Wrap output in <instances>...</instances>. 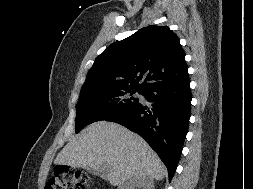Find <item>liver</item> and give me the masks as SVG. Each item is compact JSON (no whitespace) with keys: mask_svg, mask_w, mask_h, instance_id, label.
Segmentation results:
<instances>
[{"mask_svg":"<svg viewBox=\"0 0 253 189\" xmlns=\"http://www.w3.org/2000/svg\"><path fill=\"white\" fill-rule=\"evenodd\" d=\"M55 164L102 169L113 186L147 176L162 180L166 169L158 155L140 136L106 121L89 125L57 155Z\"/></svg>","mask_w":253,"mask_h":189,"instance_id":"6515ba94","label":"liver"}]
</instances>
